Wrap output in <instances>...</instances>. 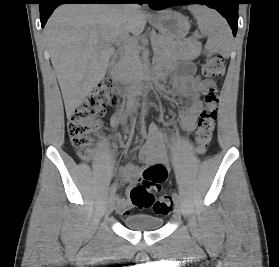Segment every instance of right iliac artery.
I'll use <instances>...</instances> for the list:
<instances>
[{
	"label": "right iliac artery",
	"instance_id": "obj_1",
	"mask_svg": "<svg viewBox=\"0 0 279 267\" xmlns=\"http://www.w3.org/2000/svg\"><path fill=\"white\" fill-rule=\"evenodd\" d=\"M143 120H144V118L142 117V120H141L142 123H143ZM109 193H110V196L115 195V193H116V183H113L111 185Z\"/></svg>",
	"mask_w": 279,
	"mask_h": 267
}]
</instances>
